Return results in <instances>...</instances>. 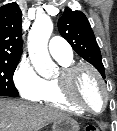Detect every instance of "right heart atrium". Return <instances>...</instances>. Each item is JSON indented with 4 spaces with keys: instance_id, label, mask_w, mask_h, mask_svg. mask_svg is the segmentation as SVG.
<instances>
[{
    "instance_id": "right-heart-atrium-1",
    "label": "right heart atrium",
    "mask_w": 117,
    "mask_h": 131,
    "mask_svg": "<svg viewBox=\"0 0 117 131\" xmlns=\"http://www.w3.org/2000/svg\"><path fill=\"white\" fill-rule=\"evenodd\" d=\"M14 83L20 95L31 101H36L44 88V79L27 61H22L14 72Z\"/></svg>"
}]
</instances>
